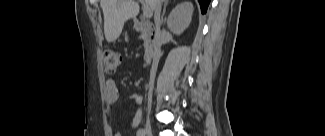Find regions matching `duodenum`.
Masks as SVG:
<instances>
[{
  "label": "duodenum",
  "mask_w": 325,
  "mask_h": 136,
  "mask_svg": "<svg viewBox=\"0 0 325 136\" xmlns=\"http://www.w3.org/2000/svg\"><path fill=\"white\" fill-rule=\"evenodd\" d=\"M134 25L136 30H138L144 37V65H146L156 46L157 30L153 24L145 20H137Z\"/></svg>",
  "instance_id": "1"
}]
</instances>
